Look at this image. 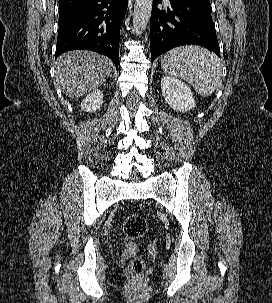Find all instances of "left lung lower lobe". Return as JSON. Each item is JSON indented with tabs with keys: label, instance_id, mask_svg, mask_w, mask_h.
I'll use <instances>...</instances> for the list:
<instances>
[{
	"label": "left lung lower lobe",
	"instance_id": "1",
	"mask_svg": "<svg viewBox=\"0 0 272 303\" xmlns=\"http://www.w3.org/2000/svg\"><path fill=\"white\" fill-rule=\"evenodd\" d=\"M162 0H153L150 20L151 60L181 45L206 47L220 56L211 17L210 0H170V8L160 10Z\"/></svg>",
	"mask_w": 272,
	"mask_h": 303
}]
</instances>
